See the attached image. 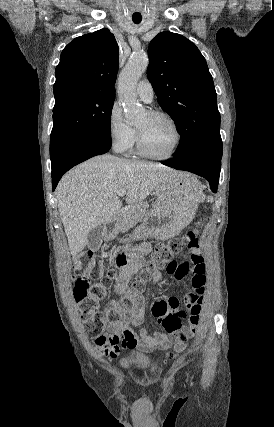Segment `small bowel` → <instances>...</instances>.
<instances>
[{
	"label": "small bowel",
	"instance_id": "small-bowel-1",
	"mask_svg": "<svg viewBox=\"0 0 274 427\" xmlns=\"http://www.w3.org/2000/svg\"><path fill=\"white\" fill-rule=\"evenodd\" d=\"M125 251L126 250H120ZM150 251V243L144 242L138 253L133 256L127 264L120 266L116 277L114 278V297L105 303L106 310L112 308L116 310L118 316L116 319H106L105 332L95 338V350L97 354L105 358H115L121 349L134 350L141 352H152L156 349L163 350L164 346H176L182 341L196 334L200 323L202 312V303L205 293L207 266L204 264V258L201 253V246L198 244L190 245L189 255L180 259V264H169L164 271L165 278L184 279L191 275L193 290L185 299V305L189 313V324L178 293H171L169 299H155L152 318L155 327H163L165 332H172L168 335L157 331L150 335L145 327L139 328L137 332L134 327H139L145 317L147 305L150 297H144L140 293L132 292L128 287L131 276L145 265V255ZM80 275L85 281H88L90 272L83 271ZM163 276L160 272L152 274L154 285L162 282ZM129 295L131 304L124 306L120 297ZM179 327H185L179 333Z\"/></svg>",
	"mask_w": 274,
	"mask_h": 427
}]
</instances>
